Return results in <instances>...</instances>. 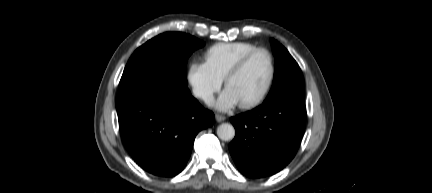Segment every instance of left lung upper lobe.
I'll return each instance as SVG.
<instances>
[{
    "label": "left lung upper lobe",
    "instance_id": "obj_1",
    "mask_svg": "<svg viewBox=\"0 0 432 193\" xmlns=\"http://www.w3.org/2000/svg\"><path fill=\"white\" fill-rule=\"evenodd\" d=\"M275 60L274 81L265 102L272 100L304 103V79L300 67L289 52L271 38Z\"/></svg>",
    "mask_w": 432,
    "mask_h": 193
}]
</instances>
